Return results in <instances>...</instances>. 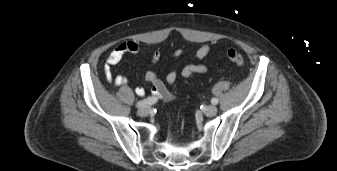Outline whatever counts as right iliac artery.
Instances as JSON below:
<instances>
[{
	"instance_id": "right-iliac-artery-1",
	"label": "right iliac artery",
	"mask_w": 337,
	"mask_h": 171,
	"mask_svg": "<svg viewBox=\"0 0 337 171\" xmlns=\"http://www.w3.org/2000/svg\"><path fill=\"white\" fill-rule=\"evenodd\" d=\"M157 102V98L155 97H149L147 99L141 100L136 104L137 108H141V107H147L149 105H152L154 103Z\"/></svg>"
}]
</instances>
